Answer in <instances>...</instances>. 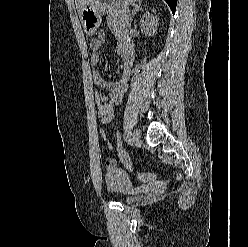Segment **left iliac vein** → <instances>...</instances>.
<instances>
[{
	"mask_svg": "<svg viewBox=\"0 0 248 247\" xmlns=\"http://www.w3.org/2000/svg\"><path fill=\"white\" fill-rule=\"evenodd\" d=\"M133 141L135 144H138L141 138V130L139 128H135L132 134Z\"/></svg>",
	"mask_w": 248,
	"mask_h": 247,
	"instance_id": "4c4485c4",
	"label": "left iliac vein"
}]
</instances>
